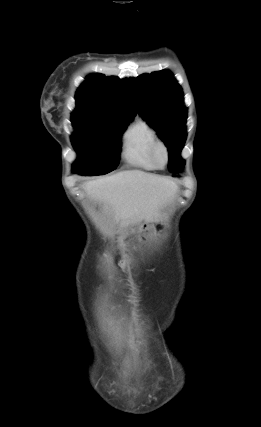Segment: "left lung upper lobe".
<instances>
[{"label":"left lung upper lobe","mask_w":261,"mask_h":427,"mask_svg":"<svg viewBox=\"0 0 261 427\" xmlns=\"http://www.w3.org/2000/svg\"><path fill=\"white\" fill-rule=\"evenodd\" d=\"M140 114L157 131L169 151V170L179 173L184 167L180 152L186 140L187 109L181 87L168 70L130 78Z\"/></svg>","instance_id":"left-lung-upper-lobe-1"}]
</instances>
